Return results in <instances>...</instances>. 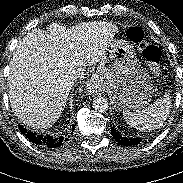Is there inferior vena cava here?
Wrapping results in <instances>:
<instances>
[{
  "instance_id": "602c4592",
  "label": "inferior vena cava",
  "mask_w": 183,
  "mask_h": 183,
  "mask_svg": "<svg viewBox=\"0 0 183 183\" xmlns=\"http://www.w3.org/2000/svg\"><path fill=\"white\" fill-rule=\"evenodd\" d=\"M68 77L72 80L75 81L77 77H79V72L76 69H72L68 73Z\"/></svg>"
}]
</instances>
